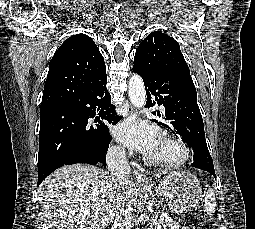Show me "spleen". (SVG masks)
Wrapping results in <instances>:
<instances>
[{"label":"spleen","instance_id":"spleen-1","mask_svg":"<svg viewBox=\"0 0 255 229\" xmlns=\"http://www.w3.org/2000/svg\"><path fill=\"white\" fill-rule=\"evenodd\" d=\"M216 199L215 193L212 188L207 190L204 200V208L207 215H213L215 213Z\"/></svg>","mask_w":255,"mask_h":229}]
</instances>
